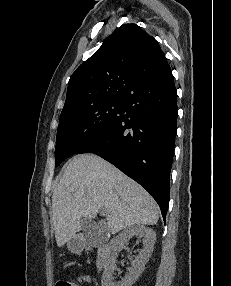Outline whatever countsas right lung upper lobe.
Listing matches in <instances>:
<instances>
[{"instance_id": "cb5924a9", "label": "right lung upper lobe", "mask_w": 231, "mask_h": 286, "mask_svg": "<svg viewBox=\"0 0 231 286\" xmlns=\"http://www.w3.org/2000/svg\"><path fill=\"white\" fill-rule=\"evenodd\" d=\"M170 73L158 42L136 24H124L73 73L60 117L102 102L124 101L136 86Z\"/></svg>"}]
</instances>
